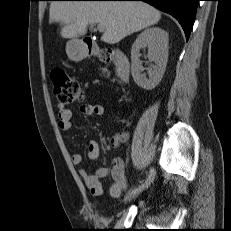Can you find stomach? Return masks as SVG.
I'll use <instances>...</instances> for the list:
<instances>
[{"label":"stomach","mask_w":231,"mask_h":231,"mask_svg":"<svg viewBox=\"0 0 231 231\" xmlns=\"http://www.w3.org/2000/svg\"><path fill=\"white\" fill-rule=\"evenodd\" d=\"M66 53L69 59L79 61L84 58L86 49L81 41L73 39L68 41L66 45Z\"/></svg>","instance_id":"1"}]
</instances>
